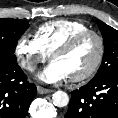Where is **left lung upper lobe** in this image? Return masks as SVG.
<instances>
[{"label":"left lung upper lobe","mask_w":118,"mask_h":118,"mask_svg":"<svg viewBox=\"0 0 118 118\" xmlns=\"http://www.w3.org/2000/svg\"><path fill=\"white\" fill-rule=\"evenodd\" d=\"M97 24L103 36L105 52L101 66L92 80L118 73V31L102 21H97Z\"/></svg>","instance_id":"left-lung-upper-lobe-1"}]
</instances>
